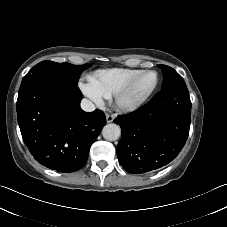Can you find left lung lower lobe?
I'll list each match as a JSON object with an SVG mask.
<instances>
[{
    "instance_id": "obj_1",
    "label": "left lung lower lobe",
    "mask_w": 227,
    "mask_h": 227,
    "mask_svg": "<svg viewBox=\"0 0 227 227\" xmlns=\"http://www.w3.org/2000/svg\"><path fill=\"white\" fill-rule=\"evenodd\" d=\"M191 101L187 87L159 91L135 112L120 115L117 146L121 166L133 174L159 169L177 157L189 134Z\"/></svg>"
}]
</instances>
